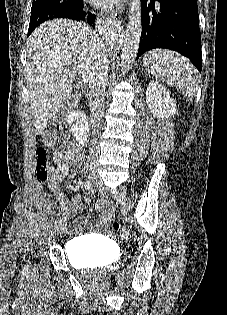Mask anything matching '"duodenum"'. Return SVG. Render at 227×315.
<instances>
[{
    "mask_svg": "<svg viewBox=\"0 0 227 315\" xmlns=\"http://www.w3.org/2000/svg\"><path fill=\"white\" fill-rule=\"evenodd\" d=\"M69 121L72 125V131L79 145H86L88 142L89 123L86 114L75 108L71 111Z\"/></svg>",
    "mask_w": 227,
    "mask_h": 315,
    "instance_id": "410a0bca",
    "label": "duodenum"
}]
</instances>
